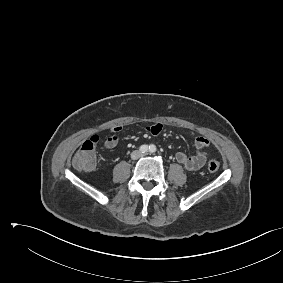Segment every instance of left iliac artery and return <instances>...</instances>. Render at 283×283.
Wrapping results in <instances>:
<instances>
[{"mask_svg": "<svg viewBox=\"0 0 283 283\" xmlns=\"http://www.w3.org/2000/svg\"><path fill=\"white\" fill-rule=\"evenodd\" d=\"M149 151L151 152V153H154V152H156V146L155 145H150L149 146Z\"/></svg>", "mask_w": 283, "mask_h": 283, "instance_id": "obj_1", "label": "left iliac artery"}]
</instances>
